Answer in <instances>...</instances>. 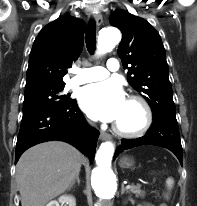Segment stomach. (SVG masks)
<instances>
[{"label": "stomach", "instance_id": "obj_1", "mask_svg": "<svg viewBox=\"0 0 197 206\" xmlns=\"http://www.w3.org/2000/svg\"><path fill=\"white\" fill-rule=\"evenodd\" d=\"M134 164V161L128 157H123L121 160H120V166L123 167V168H129V167H132Z\"/></svg>", "mask_w": 197, "mask_h": 206}]
</instances>
